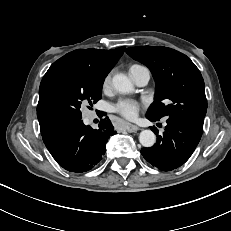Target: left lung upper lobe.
<instances>
[{"label": "left lung upper lobe", "mask_w": 231, "mask_h": 231, "mask_svg": "<svg viewBox=\"0 0 231 231\" xmlns=\"http://www.w3.org/2000/svg\"><path fill=\"white\" fill-rule=\"evenodd\" d=\"M126 52L146 65L156 82L154 102L147 117L159 120L168 116L203 127L207 111L204 80L186 55L158 46L127 48Z\"/></svg>", "instance_id": "1"}]
</instances>
